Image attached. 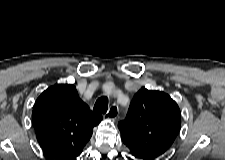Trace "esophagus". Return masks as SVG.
I'll return each mask as SVG.
<instances>
[{
  "mask_svg": "<svg viewBox=\"0 0 225 160\" xmlns=\"http://www.w3.org/2000/svg\"><path fill=\"white\" fill-rule=\"evenodd\" d=\"M118 113H119L118 106L116 104H112L108 112L106 113V116L109 119H116L118 117Z\"/></svg>",
  "mask_w": 225,
  "mask_h": 160,
  "instance_id": "obj_1",
  "label": "esophagus"
}]
</instances>
